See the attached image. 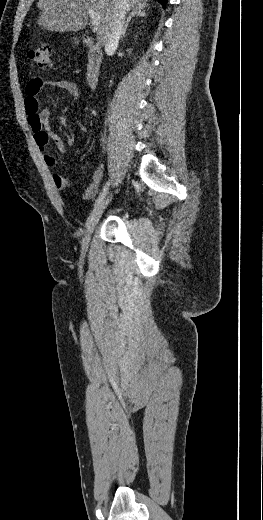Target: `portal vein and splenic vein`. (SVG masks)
<instances>
[{"label":"portal vein and splenic vein","instance_id":"18ae733b","mask_svg":"<svg viewBox=\"0 0 263 520\" xmlns=\"http://www.w3.org/2000/svg\"><path fill=\"white\" fill-rule=\"evenodd\" d=\"M70 6H74V4H70ZM88 14L91 18V21H92V24L94 25V27H97L99 26L100 24V16L98 13H96L95 11L93 10H88Z\"/></svg>","mask_w":263,"mask_h":520}]
</instances>
